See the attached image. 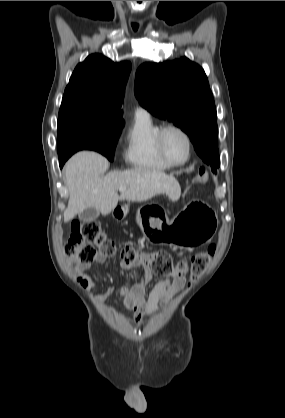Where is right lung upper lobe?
<instances>
[{
    "label": "right lung upper lobe",
    "mask_w": 285,
    "mask_h": 418,
    "mask_svg": "<svg viewBox=\"0 0 285 418\" xmlns=\"http://www.w3.org/2000/svg\"><path fill=\"white\" fill-rule=\"evenodd\" d=\"M131 71L128 61L114 63L93 54L77 65L67 85L59 111H80L123 121L120 109Z\"/></svg>",
    "instance_id": "1"
}]
</instances>
